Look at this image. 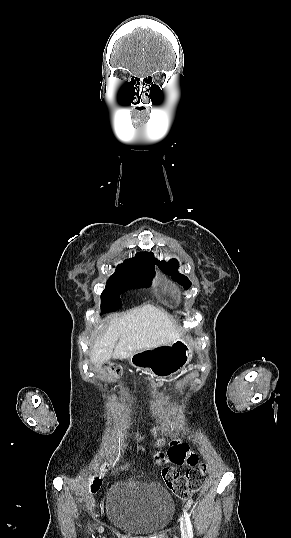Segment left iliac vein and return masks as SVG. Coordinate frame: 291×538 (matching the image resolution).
<instances>
[{
    "label": "left iliac vein",
    "mask_w": 291,
    "mask_h": 538,
    "mask_svg": "<svg viewBox=\"0 0 291 538\" xmlns=\"http://www.w3.org/2000/svg\"><path fill=\"white\" fill-rule=\"evenodd\" d=\"M180 528L183 538H187V527L185 521L182 518L180 519Z\"/></svg>",
    "instance_id": "4c4485c4"
}]
</instances>
